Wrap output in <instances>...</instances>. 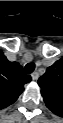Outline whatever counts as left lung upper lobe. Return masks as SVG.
I'll return each instance as SVG.
<instances>
[{"label":"left lung upper lobe","mask_w":63,"mask_h":123,"mask_svg":"<svg viewBox=\"0 0 63 123\" xmlns=\"http://www.w3.org/2000/svg\"><path fill=\"white\" fill-rule=\"evenodd\" d=\"M63 69L58 64L47 69L46 74L38 81L47 106L57 112L63 100Z\"/></svg>","instance_id":"obj_1"}]
</instances>
